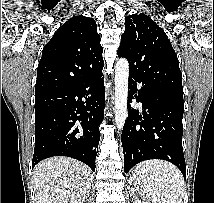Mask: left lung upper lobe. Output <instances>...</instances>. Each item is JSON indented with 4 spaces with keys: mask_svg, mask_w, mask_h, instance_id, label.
<instances>
[{
    "mask_svg": "<svg viewBox=\"0 0 214 203\" xmlns=\"http://www.w3.org/2000/svg\"><path fill=\"white\" fill-rule=\"evenodd\" d=\"M118 56L129 62V75L147 85L183 94L177 55L164 30L137 13L125 20Z\"/></svg>",
    "mask_w": 214,
    "mask_h": 203,
    "instance_id": "5c2ea615",
    "label": "left lung upper lobe"
}]
</instances>
